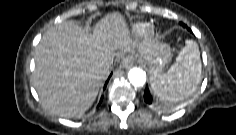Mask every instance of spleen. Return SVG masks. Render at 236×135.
<instances>
[{"mask_svg": "<svg viewBox=\"0 0 236 135\" xmlns=\"http://www.w3.org/2000/svg\"><path fill=\"white\" fill-rule=\"evenodd\" d=\"M201 69L197 43L193 40H186L185 47L168 71L157 70L150 77L151 87L162 100L182 101L196 91L201 80Z\"/></svg>", "mask_w": 236, "mask_h": 135, "instance_id": "1", "label": "spleen"}]
</instances>
